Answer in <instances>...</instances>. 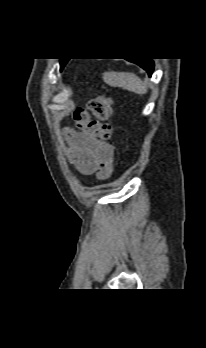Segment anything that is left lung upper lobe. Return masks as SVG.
Listing matches in <instances>:
<instances>
[{"label": "left lung upper lobe", "mask_w": 206, "mask_h": 348, "mask_svg": "<svg viewBox=\"0 0 206 348\" xmlns=\"http://www.w3.org/2000/svg\"><path fill=\"white\" fill-rule=\"evenodd\" d=\"M67 61H68V60H64V59H62V60L60 61L61 68L66 64Z\"/></svg>", "instance_id": "left-lung-upper-lobe-1"}]
</instances>
